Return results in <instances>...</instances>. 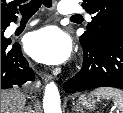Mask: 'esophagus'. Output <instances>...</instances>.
<instances>
[{"label": "esophagus", "instance_id": "34e87169", "mask_svg": "<svg viewBox=\"0 0 123 113\" xmlns=\"http://www.w3.org/2000/svg\"><path fill=\"white\" fill-rule=\"evenodd\" d=\"M42 79L44 82H48L53 79V76L49 75V74H44V75H42Z\"/></svg>", "mask_w": 123, "mask_h": 113}]
</instances>
